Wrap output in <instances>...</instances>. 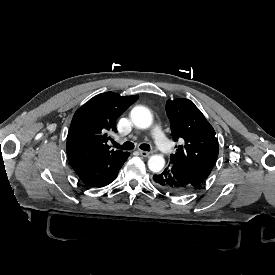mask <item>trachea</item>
Segmentation results:
<instances>
[{
  "label": "trachea",
  "mask_w": 275,
  "mask_h": 275,
  "mask_svg": "<svg viewBox=\"0 0 275 275\" xmlns=\"http://www.w3.org/2000/svg\"><path fill=\"white\" fill-rule=\"evenodd\" d=\"M113 146L118 149H123V150H132L135 147L134 144L130 141L125 142L123 145H119L118 143L113 142ZM140 149H142L143 151H149L150 146L146 143H142L140 145Z\"/></svg>",
  "instance_id": "obj_1"
}]
</instances>
